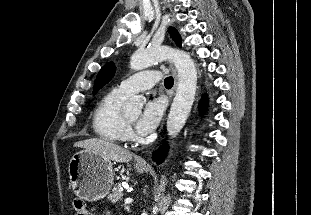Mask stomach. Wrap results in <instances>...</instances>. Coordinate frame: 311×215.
Here are the masks:
<instances>
[{
    "label": "stomach",
    "mask_w": 311,
    "mask_h": 215,
    "mask_svg": "<svg viewBox=\"0 0 311 215\" xmlns=\"http://www.w3.org/2000/svg\"><path fill=\"white\" fill-rule=\"evenodd\" d=\"M144 167L136 166L138 173ZM69 178L75 194L87 201L104 198L113 185L111 161L86 150L75 153L68 165Z\"/></svg>",
    "instance_id": "stomach-1"
}]
</instances>
